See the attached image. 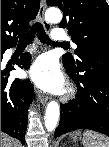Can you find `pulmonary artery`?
<instances>
[{"label": "pulmonary artery", "mask_w": 109, "mask_h": 147, "mask_svg": "<svg viewBox=\"0 0 109 147\" xmlns=\"http://www.w3.org/2000/svg\"><path fill=\"white\" fill-rule=\"evenodd\" d=\"M50 35L52 40L59 44H64V41L67 39V35L62 32H52Z\"/></svg>", "instance_id": "1"}]
</instances>
